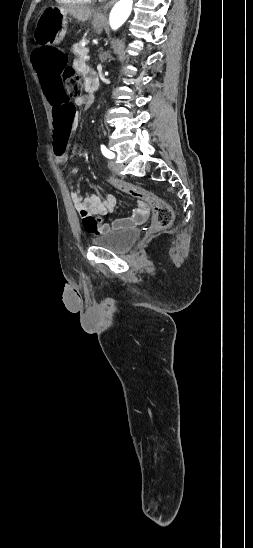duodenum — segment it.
<instances>
[{"label":"duodenum","mask_w":253,"mask_h":548,"mask_svg":"<svg viewBox=\"0 0 253 548\" xmlns=\"http://www.w3.org/2000/svg\"><path fill=\"white\" fill-rule=\"evenodd\" d=\"M85 87L87 93L92 94L98 88V78L95 75H90L86 79Z\"/></svg>","instance_id":"obj_1"}]
</instances>
